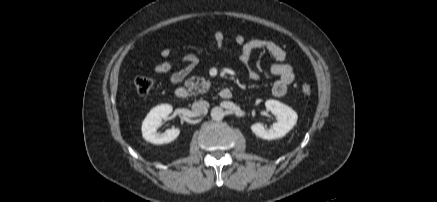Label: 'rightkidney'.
Listing matches in <instances>:
<instances>
[{"mask_svg": "<svg viewBox=\"0 0 437 202\" xmlns=\"http://www.w3.org/2000/svg\"><path fill=\"white\" fill-rule=\"evenodd\" d=\"M173 111L171 105L162 104L154 107L142 123V136L152 144H166L174 141L180 134L179 128L167 129L164 133L158 131L162 119Z\"/></svg>", "mask_w": 437, "mask_h": 202, "instance_id": "right-kidney-1", "label": "right kidney"}]
</instances>
